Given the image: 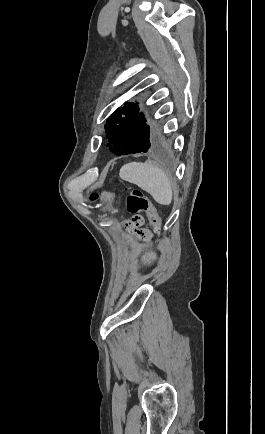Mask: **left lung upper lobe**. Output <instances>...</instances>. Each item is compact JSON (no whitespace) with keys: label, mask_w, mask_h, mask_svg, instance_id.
Wrapping results in <instances>:
<instances>
[{"label":"left lung upper lobe","mask_w":265,"mask_h":434,"mask_svg":"<svg viewBox=\"0 0 265 434\" xmlns=\"http://www.w3.org/2000/svg\"><path fill=\"white\" fill-rule=\"evenodd\" d=\"M123 115H126L124 118ZM143 114L138 115L137 106L133 103L125 104L124 108L117 109L108 119L106 136L113 145L110 149L122 147L131 138L148 128Z\"/></svg>","instance_id":"left-lung-upper-lobe-1"}]
</instances>
